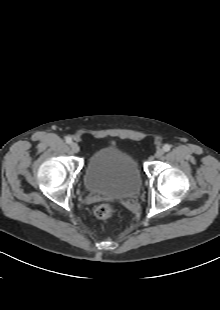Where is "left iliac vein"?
<instances>
[{"label":"left iliac vein","mask_w":220,"mask_h":310,"mask_svg":"<svg viewBox=\"0 0 220 310\" xmlns=\"http://www.w3.org/2000/svg\"><path fill=\"white\" fill-rule=\"evenodd\" d=\"M164 155V150L163 149H158L155 152V157L156 158H161Z\"/></svg>","instance_id":"left-iliac-vein-1"}]
</instances>
